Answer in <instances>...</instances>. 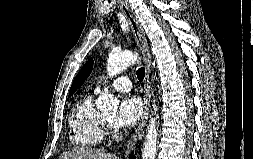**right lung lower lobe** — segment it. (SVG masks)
Masks as SVG:
<instances>
[{
  "instance_id": "98d812e1",
  "label": "right lung lower lobe",
  "mask_w": 253,
  "mask_h": 159,
  "mask_svg": "<svg viewBox=\"0 0 253 159\" xmlns=\"http://www.w3.org/2000/svg\"><path fill=\"white\" fill-rule=\"evenodd\" d=\"M131 159H135V157L133 156V157H131Z\"/></svg>"
}]
</instances>
